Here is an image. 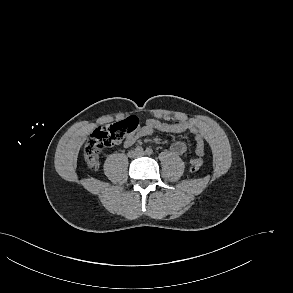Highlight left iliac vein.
Returning a JSON list of instances; mask_svg holds the SVG:
<instances>
[{"mask_svg": "<svg viewBox=\"0 0 293 293\" xmlns=\"http://www.w3.org/2000/svg\"><path fill=\"white\" fill-rule=\"evenodd\" d=\"M144 154H145L144 151H141V152L138 153L139 156H143Z\"/></svg>", "mask_w": 293, "mask_h": 293, "instance_id": "4c4485c4", "label": "left iliac vein"}]
</instances>
